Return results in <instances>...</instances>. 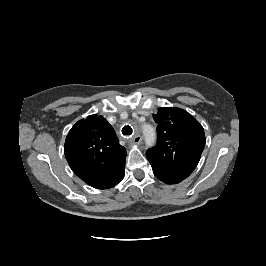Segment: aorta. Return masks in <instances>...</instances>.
<instances>
[{"label":"aorta","mask_w":266,"mask_h":266,"mask_svg":"<svg viewBox=\"0 0 266 266\" xmlns=\"http://www.w3.org/2000/svg\"><path fill=\"white\" fill-rule=\"evenodd\" d=\"M142 130L145 137L146 145L152 146L156 139L154 128L150 125H144Z\"/></svg>","instance_id":"aorta-1"}]
</instances>
